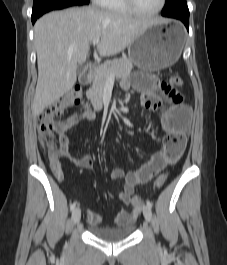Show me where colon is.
<instances>
[{
  "mask_svg": "<svg viewBox=\"0 0 227 265\" xmlns=\"http://www.w3.org/2000/svg\"><path fill=\"white\" fill-rule=\"evenodd\" d=\"M173 86H182L183 80L179 75H173L170 79ZM81 97V90L75 87L66 93L64 96L53 102L45 110H43L37 117V127L39 133V140L42 146L53 149V131L54 121L57 115L62 113L67 107L76 104ZM167 175L161 174L155 181V188L160 189L166 182ZM132 205L135 209H139L142 205V199L138 196L132 198Z\"/></svg>",
  "mask_w": 227,
  "mask_h": 265,
  "instance_id": "obj_1",
  "label": "colon"
}]
</instances>
